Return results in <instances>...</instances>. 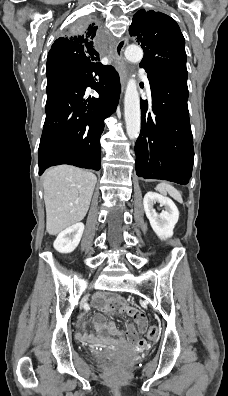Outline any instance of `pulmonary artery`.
I'll list each match as a JSON object with an SVG mask.
<instances>
[{
    "mask_svg": "<svg viewBox=\"0 0 228 396\" xmlns=\"http://www.w3.org/2000/svg\"><path fill=\"white\" fill-rule=\"evenodd\" d=\"M140 77H141V79L143 80V82L145 84L146 90L150 91V82H149V79H148L147 75L144 72L141 71L140 72Z\"/></svg>",
    "mask_w": 228,
    "mask_h": 396,
    "instance_id": "obj_1",
    "label": "pulmonary artery"
}]
</instances>
